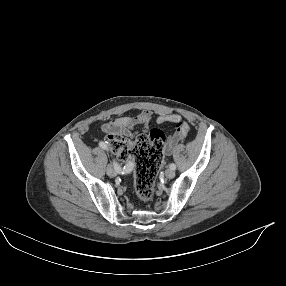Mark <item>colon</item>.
<instances>
[{"mask_svg":"<svg viewBox=\"0 0 286 286\" xmlns=\"http://www.w3.org/2000/svg\"><path fill=\"white\" fill-rule=\"evenodd\" d=\"M106 141L110 151L121 161H135L134 191L142 202L154 195V181L163 157L165 134L153 128L149 135L128 139L122 135H108Z\"/></svg>","mask_w":286,"mask_h":286,"instance_id":"5ec220e1","label":"colon"}]
</instances>
